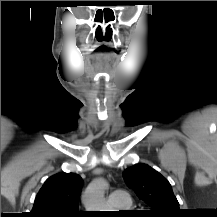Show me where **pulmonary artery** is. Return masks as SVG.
I'll return each mask as SVG.
<instances>
[{"label":"pulmonary artery","mask_w":217,"mask_h":217,"mask_svg":"<svg viewBox=\"0 0 217 217\" xmlns=\"http://www.w3.org/2000/svg\"><path fill=\"white\" fill-rule=\"evenodd\" d=\"M108 202L115 209H125L131 204V198L126 190L118 189L109 194Z\"/></svg>","instance_id":"1"}]
</instances>
